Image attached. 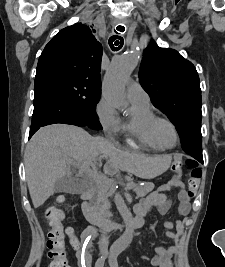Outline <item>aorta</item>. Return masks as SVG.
<instances>
[{
  "label": "aorta",
  "instance_id": "1",
  "mask_svg": "<svg viewBox=\"0 0 225 267\" xmlns=\"http://www.w3.org/2000/svg\"><path fill=\"white\" fill-rule=\"evenodd\" d=\"M138 60L139 57L135 53H131L120 55L112 61L105 75L102 89L105 100L112 106L119 109L127 106L125 85L130 74L137 66ZM114 202L123 218L126 229L122 236L114 242L112 248L116 251H122L130 244L133 238L132 214L119 192L115 193Z\"/></svg>",
  "mask_w": 225,
  "mask_h": 267
}]
</instances>
